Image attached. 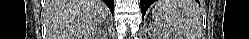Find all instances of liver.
<instances>
[{
	"mask_svg": "<svg viewBox=\"0 0 249 39\" xmlns=\"http://www.w3.org/2000/svg\"><path fill=\"white\" fill-rule=\"evenodd\" d=\"M45 12L51 37L88 39L109 10L101 0H47Z\"/></svg>",
	"mask_w": 249,
	"mask_h": 39,
	"instance_id": "6515ba94",
	"label": "liver"
}]
</instances>
